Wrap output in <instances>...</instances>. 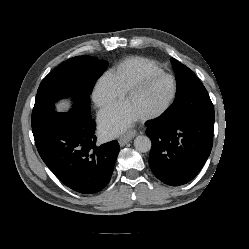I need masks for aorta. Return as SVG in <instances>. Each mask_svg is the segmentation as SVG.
I'll return each mask as SVG.
<instances>
[{"mask_svg":"<svg viewBox=\"0 0 249 249\" xmlns=\"http://www.w3.org/2000/svg\"><path fill=\"white\" fill-rule=\"evenodd\" d=\"M134 147L138 152L146 153L151 149V140L145 135H138L134 139Z\"/></svg>","mask_w":249,"mask_h":249,"instance_id":"762f6f07","label":"aorta"}]
</instances>
